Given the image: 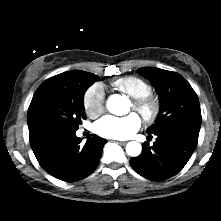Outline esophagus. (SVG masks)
<instances>
[{
	"instance_id": "obj_1",
	"label": "esophagus",
	"mask_w": 221,
	"mask_h": 221,
	"mask_svg": "<svg viewBox=\"0 0 221 221\" xmlns=\"http://www.w3.org/2000/svg\"><path fill=\"white\" fill-rule=\"evenodd\" d=\"M119 143L122 144V145H125L126 141H120Z\"/></svg>"
}]
</instances>
